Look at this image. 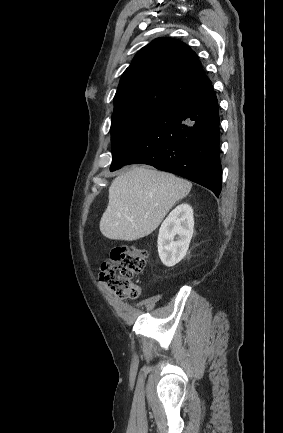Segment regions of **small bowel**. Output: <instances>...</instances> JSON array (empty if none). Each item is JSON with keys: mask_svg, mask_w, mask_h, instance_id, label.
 Instances as JSON below:
<instances>
[{"mask_svg": "<svg viewBox=\"0 0 283 433\" xmlns=\"http://www.w3.org/2000/svg\"><path fill=\"white\" fill-rule=\"evenodd\" d=\"M101 287L105 288L104 284L101 283ZM110 298L114 301V303L117 306V309L120 313V315L122 316V318L127 321L130 322L133 319H135V317L137 316L136 312L134 310H132L127 303L124 301V299L120 296L114 295L112 293H109Z\"/></svg>", "mask_w": 283, "mask_h": 433, "instance_id": "small-bowel-1", "label": "small bowel"}]
</instances>
